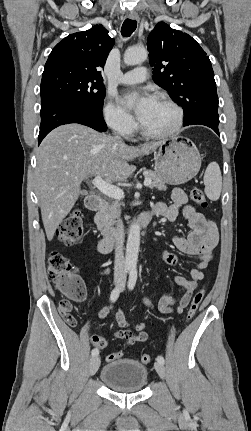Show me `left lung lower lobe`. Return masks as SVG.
Listing matches in <instances>:
<instances>
[{
  "label": "left lung lower lobe",
  "instance_id": "0a47b994",
  "mask_svg": "<svg viewBox=\"0 0 251 431\" xmlns=\"http://www.w3.org/2000/svg\"><path fill=\"white\" fill-rule=\"evenodd\" d=\"M195 124L208 126L212 128L219 135V130H218L219 116L217 117H212L208 115L200 116L198 118L190 120L189 122L184 123L183 126L195 125Z\"/></svg>",
  "mask_w": 251,
  "mask_h": 431
}]
</instances>
